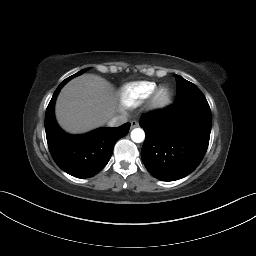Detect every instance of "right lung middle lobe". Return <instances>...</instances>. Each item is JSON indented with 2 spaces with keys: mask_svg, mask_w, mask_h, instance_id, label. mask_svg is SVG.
<instances>
[{
  "mask_svg": "<svg viewBox=\"0 0 256 256\" xmlns=\"http://www.w3.org/2000/svg\"><path fill=\"white\" fill-rule=\"evenodd\" d=\"M88 69H89V68H86V69H83V70L77 72L76 74H74V75L68 77L67 79H65L63 82H64V83L68 82V81H69L70 79H72L73 77H76V76H78V75H81L82 73H84V72L87 71Z\"/></svg>",
  "mask_w": 256,
  "mask_h": 256,
  "instance_id": "obj_1",
  "label": "right lung middle lobe"
}]
</instances>
